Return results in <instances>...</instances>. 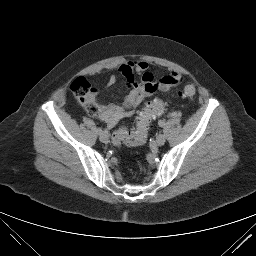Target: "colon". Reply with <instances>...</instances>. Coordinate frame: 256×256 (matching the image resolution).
I'll return each mask as SVG.
<instances>
[{"label":"colon","mask_w":256,"mask_h":256,"mask_svg":"<svg viewBox=\"0 0 256 256\" xmlns=\"http://www.w3.org/2000/svg\"><path fill=\"white\" fill-rule=\"evenodd\" d=\"M70 89L75 98L85 107L88 114L92 116L100 114L99 106L94 100V89L86 79L82 77L75 79L71 83ZM195 94L196 89L193 85H186L181 91V95L186 98H191ZM164 108L165 103L161 99L157 98L148 102L138 117L136 130H117L112 136L113 144L120 146L122 143L130 145L145 143L151 122L163 113Z\"/></svg>","instance_id":"obj_1"}]
</instances>
